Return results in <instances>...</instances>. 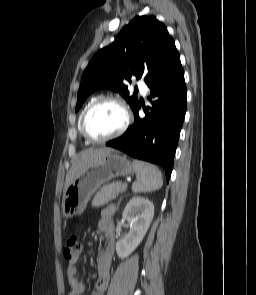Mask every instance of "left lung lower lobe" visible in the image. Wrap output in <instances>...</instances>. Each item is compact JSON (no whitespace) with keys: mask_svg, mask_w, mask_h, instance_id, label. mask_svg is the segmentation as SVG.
Instances as JSON below:
<instances>
[{"mask_svg":"<svg viewBox=\"0 0 256 295\" xmlns=\"http://www.w3.org/2000/svg\"><path fill=\"white\" fill-rule=\"evenodd\" d=\"M151 106L138 116L140 103L133 109L134 124L119 138L106 143L126 154L161 165L169 181L175 151L186 113V86L180 60L158 79L147 84Z\"/></svg>","mask_w":256,"mask_h":295,"instance_id":"0a47b994","label":"left lung lower lobe"}]
</instances>
